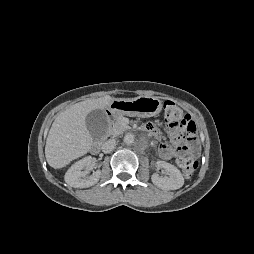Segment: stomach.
I'll list each match as a JSON object with an SVG mask.
<instances>
[{
  "mask_svg": "<svg viewBox=\"0 0 254 254\" xmlns=\"http://www.w3.org/2000/svg\"><path fill=\"white\" fill-rule=\"evenodd\" d=\"M162 110V101L157 97L140 96L137 98L113 99L108 105L112 117L127 115L148 118Z\"/></svg>",
  "mask_w": 254,
  "mask_h": 254,
  "instance_id": "0dacf381",
  "label": "stomach"
}]
</instances>
